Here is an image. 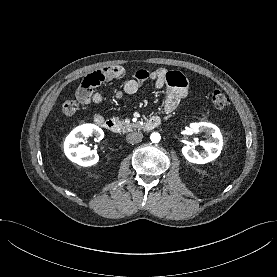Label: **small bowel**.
Instances as JSON below:
<instances>
[{"label": "small bowel", "mask_w": 277, "mask_h": 277, "mask_svg": "<svg viewBox=\"0 0 277 277\" xmlns=\"http://www.w3.org/2000/svg\"><path fill=\"white\" fill-rule=\"evenodd\" d=\"M123 73L124 69L121 66L106 67L90 73L77 89V100L81 104H100L103 101V95L94 88L104 82L121 77ZM146 81L154 82L156 89L164 92V110L167 113L174 111L189 91L186 77L178 71H169L164 68L153 71L139 69L124 83L122 90L115 92V98L120 99L124 94L137 93ZM101 118L104 117L100 113L94 114L95 122Z\"/></svg>", "instance_id": "c3829d8e"}]
</instances>
